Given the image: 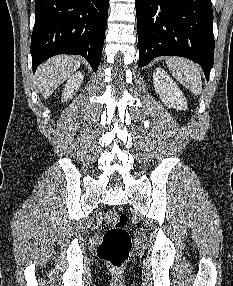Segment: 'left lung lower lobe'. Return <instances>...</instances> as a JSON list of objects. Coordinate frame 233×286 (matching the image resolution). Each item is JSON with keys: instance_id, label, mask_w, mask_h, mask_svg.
<instances>
[{"instance_id": "obj_1", "label": "left lung lower lobe", "mask_w": 233, "mask_h": 286, "mask_svg": "<svg viewBox=\"0 0 233 286\" xmlns=\"http://www.w3.org/2000/svg\"><path fill=\"white\" fill-rule=\"evenodd\" d=\"M139 67L158 56L198 63L208 81L214 61L211 0H135Z\"/></svg>"}]
</instances>
